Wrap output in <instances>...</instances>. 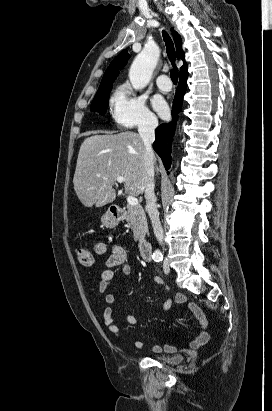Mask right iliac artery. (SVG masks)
Listing matches in <instances>:
<instances>
[{
  "label": "right iliac artery",
  "instance_id": "1",
  "mask_svg": "<svg viewBox=\"0 0 272 411\" xmlns=\"http://www.w3.org/2000/svg\"><path fill=\"white\" fill-rule=\"evenodd\" d=\"M154 260H155L156 262H159V261H162V260H163V257H162V256H158V257H156Z\"/></svg>",
  "mask_w": 272,
  "mask_h": 411
}]
</instances>
